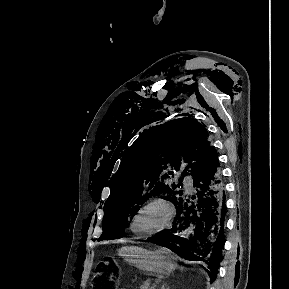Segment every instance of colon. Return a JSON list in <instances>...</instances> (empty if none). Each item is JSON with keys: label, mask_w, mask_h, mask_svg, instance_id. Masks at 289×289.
Masks as SVG:
<instances>
[{"label": "colon", "mask_w": 289, "mask_h": 289, "mask_svg": "<svg viewBox=\"0 0 289 289\" xmlns=\"http://www.w3.org/2000/svg\"><path fill=\"white\" fill-rule=\"evenodd\" d=\"M116 282L117 276L109 261L100 262L94 276L93 289H114Z\"/></svg>", "instance_id": "obj_1"}]
</instances>
